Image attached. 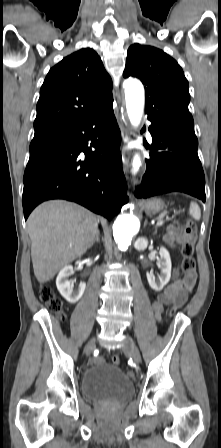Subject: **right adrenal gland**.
I'll list each match as a JSON object with an SVG mask.
<instances>
[{
  "label": "right adrenal gland",
  "mask_w": 221,
  "mask_h": 448,
  "mask_svg": "<svg viewBox=\"0 0 221 448\" xmlns=\"http://www.w3.org/2000/svg\"><path fill=\"white\" fill-rule=\"evenodd\" d=\"M95 242H97V243L100 242V232L99 231H97L96 237L90 247H92L95 244Z\"/></svg>",
  "instance_id": "obj_1"
}]
</instances>
